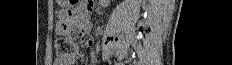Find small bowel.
Returning <instances> with one entry per match:
<instances>
[{
	"instance_id": "c3829d8e",
	"label": "small bowel",
	"mask_w": 232,
	"mask_h": 65,
	"mask_svg": "<svg viewBox=\"0 0 232 65\" xmlns=\"http://www.w3.org/2000/svg\"><path fill=\"white\" fill-rule=\"evenodd\" d=\"M82 12H58V23H57V36L58 37H69L82 38V44L85 46H92L93 41L89 37L88 29H81V26H76V23H72V17L84 16V11L90 10V5H85L81 8ZM75 53L63 59H57L55 65H72L75 63Z\"/></svg>"
}]
</instances>
